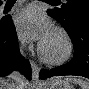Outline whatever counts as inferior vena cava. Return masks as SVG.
<instances>
[{
  "label": "inferior vena cava",
  "mask_w": 89,
  "mask_h": 89,
  "mask_svg": "<svg viewBox=\"0 0 89 89\" xmlns=\"http://www.w3.org/2000/svg\"><path fill=\"white\" fill-rule=\"evenodd\" d=\"M24 46H25V43H24V42H21V48H20L21 52H22V49L24 48ZM12 76H13L14 78H18V77H19V74H18V72H14V73L12 74ZM19 89H20V87H19Z\"/></svg>",
  "instance_id": "inferior-vena-cava-1"
}]
</instances>
